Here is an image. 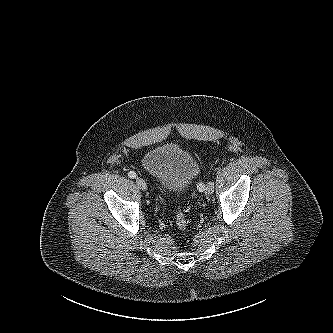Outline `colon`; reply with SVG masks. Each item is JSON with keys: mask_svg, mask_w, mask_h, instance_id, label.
I'll return each instance as SVG.
<instances>
[{"mask_svg": "<svg viewBox=\"0 0 333 333\" xmlns=\"http://www.w3.org/2000/svg\"><path fill=\"white\" fill-rule=\"evenodd\" d=\"M175 222L180 230H185L188 224L185 213L182 210H178L175 216Z\"/></svg>", "mask_w": 333, "mask_h": 333, "instance_id": "5ec220e1", "label": "colon"}]
</instances>
